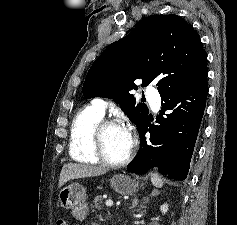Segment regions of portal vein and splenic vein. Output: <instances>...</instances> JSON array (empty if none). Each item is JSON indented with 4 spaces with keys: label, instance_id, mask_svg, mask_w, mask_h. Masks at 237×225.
Segmentation results:
<instances>
[{
    "label": "portal vein and splenic vein",
    "instance_id": "obj_1",
    "mask_svg": "<svg viewBox=\"0 0 237 225\" xmlns=\"http://www.w3.org/2000/svg\"><path fill=\"white\" fill-rule=\"evenodd\" d=\"M106 206L107 207H111V206H113V201L112 200H106Z\"/></svg>",
    "mask_w": 237,
    "mask_h": 225
}]
</instances>
